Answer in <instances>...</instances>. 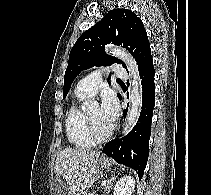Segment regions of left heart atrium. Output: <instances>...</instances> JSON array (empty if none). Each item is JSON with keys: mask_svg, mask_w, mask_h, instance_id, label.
<instances>
[{"mask_svg": "<svg viewBox=\"0 0 211 195\" xmlns=\"http://www.w3.org/2000/svg\"><path fill=\"white\" fill-rule=\"evenodd\" d=\"M118 111L119 107L116 98L111 93L103 94L99 109L102 120L112 126L117 119Z\"/></svg>", "mask_w": 211, "mask_h": 195, "instance_id": "obj_1", "label": "left heart atrium"}]
</instances>
